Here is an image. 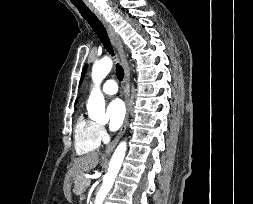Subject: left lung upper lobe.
I'll use <instances>...</instances> for the list:
<instances>
[{
	"mask_svg": "<svg viewBox=\"0 0 253 204\" xmlns=\"http://www.w3.org/2000/svg\"><path fill=\"white\" fill-rule=\"evenodd\" d=\"M86 69H87V65L83 68L82 77H81V82H82V80H83V76H84V74H85Z\"/></svg>",
	"mask_w": 253,
	"mask_h": 204,
	"instance_id": "1",
	"label": "left lung upper lobe"
}]
</instances>
